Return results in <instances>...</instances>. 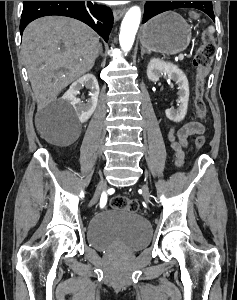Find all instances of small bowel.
I'll list each match as a JSON object with an SVG mask.
<instances>
[{
    "label": "small bowel",
    "instance_id": "1",
    "mask_svg": "<svg viewBox=\"0 0 237 300\" xmlns=\"http://www.w3.org/2000/svg\"><path fill=\"white\" fill-rule=\"evenodd\" d=\"M203 132V126L196 121H190L178 128H171L168 139L176 152V165L183 163V149L188 145L189 139L196 134Z\"/></svg>",
    "mask_w": 237,
    "mask_h": 300
}]
</instances>
